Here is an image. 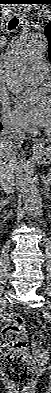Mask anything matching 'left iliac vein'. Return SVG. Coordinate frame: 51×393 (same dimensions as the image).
I'll return each instance as SVG.
<instances>
[{
    "mask_svg": "<svg viewBox=\"0 0 51 393\" xmlns=\"http://www.w3.org/2000/svg\"><path fill=\"white\" fill-rule=\"evenodd\" d=\"M50 308V306H47V309H49Z\"/></svg>",
    "mask_w": 51,
    "mask_h": 393,
    "instance_id": "4c4485c4",
    "label": "left iliac vein"
}]
</instances>
